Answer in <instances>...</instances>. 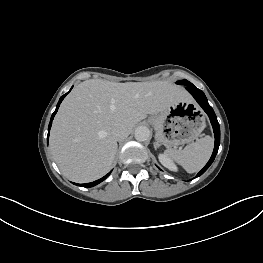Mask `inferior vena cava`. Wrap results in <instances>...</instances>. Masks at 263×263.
Wrapping results in <instances>:
<instances>
[{
	"mask_svg": "<svg viewBox=\"0 0 263 263\" xmlns=\"http://www.w3.org/2000/svg\"><path fill=\"white\" fill-rule=\"evenodd\" d=\"M111 133H112V136L114 137V139L117 141L123 140L124 138H126L129 135L128 129L126 128V126H124L122 124L116 125L112 129Z\"/></svg>",
	"mask_w": 263,
	"mask_h": 263,
	"instance_id": "1",
	"label": "inferior vena cava"
}]
</instances>
